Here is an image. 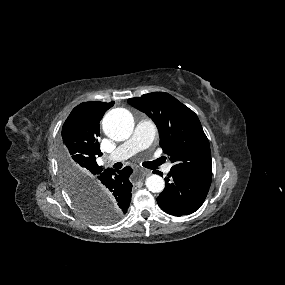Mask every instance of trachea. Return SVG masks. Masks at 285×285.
Instances as JSON below:
<instances>
[{
  "mask_svg": "<svg viewBox=\"0 0 285 285\" xmlns=\"http://www.w3.org/2000/svg\"><path fill=\"white\" fill-rule=\"evenodd\" d=\"M163 162H164L163 159H158V160H155L152 162H145L142 165L146 168H149V169H156L158 167V165H160Z\"/></svg>",
  "mask_w": 285,
  "mask_h": 285,
  "instance_id": "obj_1",
  "label": "trachea"
}]
</instances>
